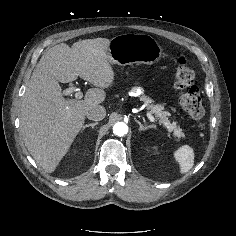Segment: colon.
I'll list each match as a JSON object with an SVG mask.
<instances>
[{"label":"colon","mask_w":236,"mask_h":236,"mask_svg":"<svg viewBox=\"0 0 236 236\" xmlns=\"http://www.w3.org/2000/svg\"><path fill=\"white\" fill-rule=\"evenodd\" d=\"M194 78L193 69L184 58H180L175 74V88L179 94V103L192 119L199 120L204 115V107L200 92L194 85Z\"/></svg>","instance_id":"colon-1"}]
</instances>
